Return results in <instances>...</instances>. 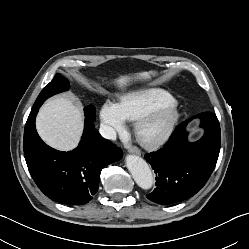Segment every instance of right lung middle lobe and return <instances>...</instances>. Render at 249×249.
<instances>
[{"label":"right lung middle lobe","mask_w":249,"mask_h":249,"mask_svg":"<svg viewBox=\"0 0 249 249\" xmlns=\"http://www.w3.org/2000/svg\"><path fill=\"white\" fill-rule=\"evenodd\" d=\"M68 89H69V82L61 75L56 74L53 80L49 84H47L45 88L41 91L35 103L38 102L43 103L50 96ZM84 111H85V117H87L92 121H95L96 109L92 104L86 106L84 108Z\"/></svg>","instance_id":"1"}]
</instances>
